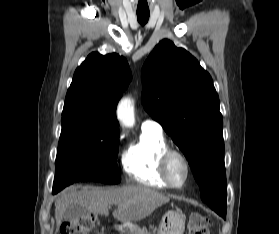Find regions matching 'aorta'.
Segmentation results:
<instances>
[{
	"instance_id": "obj_1",
	"label": "aorta",
	"mask_w": 279,
	"mask_h": 234,
	"mask_svg": "<svg viewBox=\"0 0 279 234\" xmlns=\"http://www.w3.org/2000/svg\"><path fill=\"white\" fill-rule=\"evenodd\" d=\"M117 117L123 126L127 128L134 126V101L130 97H125L119 102L117 108Z\"/></svg>"
}]
</instances>
